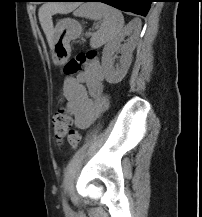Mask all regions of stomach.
Here are the masks:
<instances>
[{
    "instance_id": "obj_1",
    "label": "stomach",
    "mask_w": 202,
    "mask_h": 217,
    "mask_svg": "<svg viewBox=\"0 0 202 217\" xmlns=\"http://www.w3.org/2000/svg\"><path fill=\"white\" fill-rule=\"evenodd\" d=\"M82 26L79 22L66 18L57 24L54 30L52 59L56 65L64 64L70 57V42L80 36Z\"/></svg>"
}]
</instances>
